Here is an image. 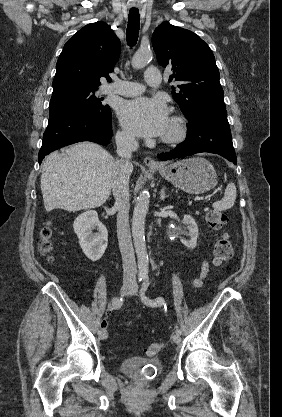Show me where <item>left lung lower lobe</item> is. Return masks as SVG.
Returning a JSON list of instances; mask_svg holds the SVG:
<instances>
[{
    "label": "left lung lower lobe",
    "mask_w": 282,
    "mask_h": 417,
    "mask_svg": "<svg viewBox=\"0 0 282 417\" xmlns=\"http://www.w3.org/2000/svg\"><path fill=\"white\" fill-rule=\"evenodd\" d=\"M191 112L186 141L170 152L158 154V158L163 161L209 152L236 164L225 104L206 103L195 107Z\"/></svg>",
    "instance_id": "1"
}]
</instances>
